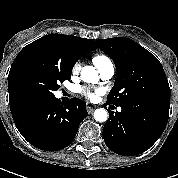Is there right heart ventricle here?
<instances>
[{
  "instance_id": "e07e8e85",
  "label": "right heart ventricle",
  "mask_w": 178,
  "mask_h": 178,
  "mask_svg": "<svg viewBox=\"0 0 178 178\" xmlns=\"http://www.w3.org/2000/svg\"><path fill=\"white\" fill-rule=\"evenodd\" d=\"M92 61L94 65L97 67V69H99L101 66L110 62L111 60L105 55L97 54L93 57Z\"/></svg>"
}]
</instances>
